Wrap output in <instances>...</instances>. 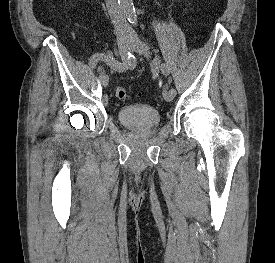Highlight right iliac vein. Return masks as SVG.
Returning a JSON list of instances; mask_svg holds the SVG:
<instances>
[{"mask_svg": "<svg viewBox=\"0 0 275 263\" xmlns=\"http://www.w3.org/2000/svg\"><path fill=\"white\" fill-rule=\"evenodd\" d=\"M117 43H118L119 54L122 59H125V57L127 55L128 47L130 46V43H131V40L127 39V38H119ZM99 80H100L101 84L104 87H106L109 82V77H108V75L101 74L99 76Z\"/></svg>", "mask_w": 275, "mask_h": 263, "instance_id": "1", "label": "right iliac vein"}]
</instances>
